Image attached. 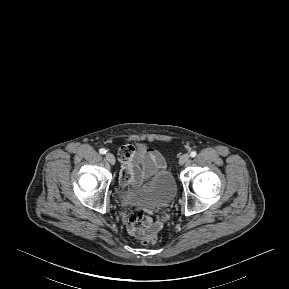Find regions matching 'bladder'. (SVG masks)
Masks as SVG:
<instances>
[{
	"instance_id": "1",
	"label": "bladder",
	"mask_w": 289,
	"mask_h": 289,
	"mask_svg": "<svg viewBox=\"0 0 289 289\" xmlns=\"http://www.w3.org/2000/svg\"><path fill=\"white\" fill-rule=\"evenodd\" d=\"M177 184L168 168L154 170L149 185L144 190H119L118 200L125 205L168 206L176 197Z\"/></svg>"
}]
</instances>
